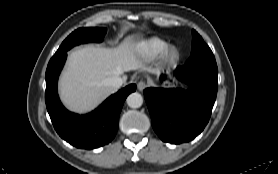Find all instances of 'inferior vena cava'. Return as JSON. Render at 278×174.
Here are the masks:
<instances>
[{"label":"inferior vena cava","mask_w":278,"mask_h":174,"mask_svg":"<svg viewBox=\"0 0 278 174\" xmlns=\"http://www.w3.org/2000/svg\"><path fill=\"white\" fill-rule=\"evenodd\" d=\"M123 79L120 76H113L107 80V84L113 88H119L123 84Z\"/></svg>","instance_id":"602c4592"}]
</instances>
